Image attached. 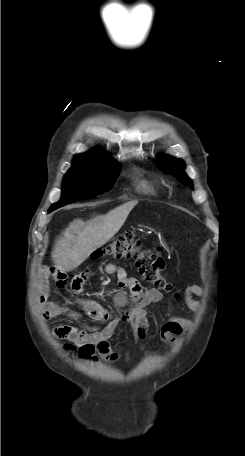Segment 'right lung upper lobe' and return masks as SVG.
Wrapping results in <instances>:
<instances>
[{
  "label": "right lung upper lobe",
  "mask_w": 245,
  "mask_h": 456,
  "mask_svg": "<svg viewBox=\"0 0 245 456\" xmlns=\"http://www.w3.org/2000/svg\"><path fill=\"white\" fill-rule=\"evenodd\" d=\"M113 161L108 155L99 150H91L85 154L75 155L73 165H96Z\"/></svg>",
  "instance_id": "cb5924a9"
}]
</instances>
